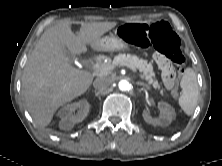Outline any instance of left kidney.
Here are the masks:
<instances>
[{
  "label": "left kidney",
  "instance_id": "1",
  "mask_svg": "<svg viewBox=\"0 0 222 166\" xmlns=\"http://www.w3.org/2000/svg\"><path fill=\"white\" fill-rule=\"evenodd\" d=\"M158 108L160 110L158 118H153L147 110H144L142 113L144 120L154 126H168L176 116L173 107L166 102L160 101L158 102Z\"/></svg>",
  "mask_w": 222,
  "mask_h": 166
}]
</instances>
